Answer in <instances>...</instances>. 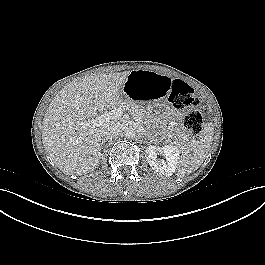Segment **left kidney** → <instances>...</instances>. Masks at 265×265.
<instances>
[{"label":"left kidney","instance_id":"1","mask_svg":"<svg viewBox=\"0 0 265 265\" xmlns=\"http://www.w3.org/2000/svg\"><path fill=\"white\" fill-rule=\"evenodd\" d=\"M146 159L151 168L166 176H171L177 167L179 160V149L173 145H165L163 147L150 145L145 150ZM162 154L164 159L158 158Z\"/></svg>","mask_w":265,"mask_h":265}]
</instances>
